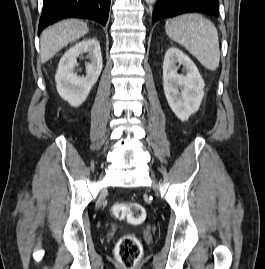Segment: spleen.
I'll return each mask as SVG.
<instances>
[{"label":"spleen","mask_w":265,"mask_h":269,"mask_svg":"<svg viewBox=\"0 0 265 269\" xmlns=\"http://www.w3.org/2000/svg\"><path fill=\"white\" fill-rule=\"evenodd\" d=\"M165 29L170 39L185 47L206 69L218 68V32L210 20L198 13H187L167 20Z\"/></svg>","instance_id":"spleen-1"}]
</instances>
